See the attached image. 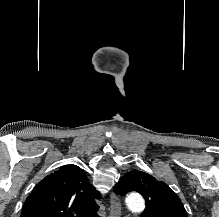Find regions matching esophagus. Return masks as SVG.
Instances as JSON below:
<instances>
[{"mask_svg": "<svg viewBox=\"0 0 219 217\" xmlns=\"http://www.w3.org/2000/svg\"><path fill=\"white\" fill-rule=\"evenodd\" d=\"M109 217H121V203L114 193L110 198Z\"/></svg>", "mask_w": 219, "mask_h": 217, "instance_id": "obj_1", "label": "esophagus"}]
</instances>
